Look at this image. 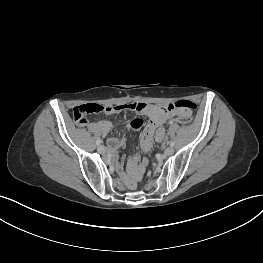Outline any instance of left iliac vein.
<instances>
[{"instance_id":"obj_1","label":"left iliac vein","mask_w":263,"mask_h":263,"mask_svg":"<svg viewBox=\"0 0 263 263\" xmlns=\"http://www.w3.org/2000/svg\"><path fill=\"white\" fill-rule=\"evenodd\" d=\"M173 153H174L173 147L166 148L165 155L169 156V155H172Z\"/></svg>"}]
</instances>
